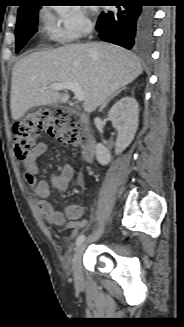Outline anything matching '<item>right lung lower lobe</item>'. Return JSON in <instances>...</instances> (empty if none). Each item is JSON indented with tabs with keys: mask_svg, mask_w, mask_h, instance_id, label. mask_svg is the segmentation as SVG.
I'll use <instances>...</instances> for the list:
<instances>
[{
	"mask_svg": "<svg viewBox=\"0 0 184 327\" xmlns=\"http://www.w3.org/2000/svg\"><path fill=\"white\" fill-rule=\"evenodd\" d=\"M116 11L101 13L96 30L100 39L126 49L148 47L153 35L154 11L137 0H126Z\"/></svg>",
	"mask_w": 184,
	"mask_h": 327,
	"instance_id": "98d812e1",
	"label": "right lung lower lobe"
}]
</instances>
